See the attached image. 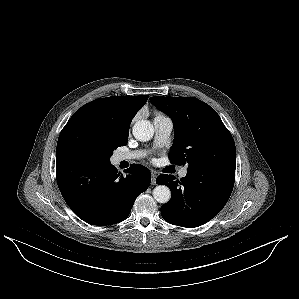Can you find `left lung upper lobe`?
Wrapping results in <instances>:
<instances>
[{
	"instance_id": "left-lung-upper-lobe-1",
	"label": "left lung upper lobe",
	"mask_w": 299,
	"mask_h": 299,
	"mask_svg": "<svg viewBox=\"0 0 299 299\" xmlns=\"http://www.w3.org/2000/svg\"><path fill=\"white\" fill-rule=\"evenodd\" d=\"M150 101L173 121L172 163L187 164V170L206 163H235L232 135L209 105L192 97L155 96Z\"/></svg>"
}]
</instances>
